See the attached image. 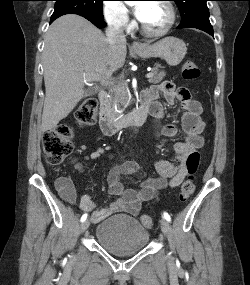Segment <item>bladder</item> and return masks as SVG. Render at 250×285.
I'll return each mask as SVG.
<instances>
[{"mask_svg":"<svg viewBox=\"0 0 250 285\" xmlns=\"http://www.w3.org/2000/svg\"><path fill=\"white\" fill-rule=\"evenodd\" d=\"M95 237L105 250L115 255L136 253L149 240L147 230L128 215H115L103 220L96 227Z\"/></svg>","mask_w":250,"mask_h":285,"instance_id":"obj_1","label":"bladder"}]
</instances>
